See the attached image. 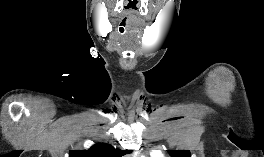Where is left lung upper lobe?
<instances>
[{"mask_svg":"<svg viewBox=\"0 0 264 157\" xmlns=\"http://www.w3.org/2000/svg\"><path fill=\"white\" fill-rule=\"evenodd\" d=\"M171 157H191L188 150H168Z\"/></svg>","mask_w":264,"mask_h":157,"instance_id":"1","label":"left lung upper lobe"}]
</instances>
